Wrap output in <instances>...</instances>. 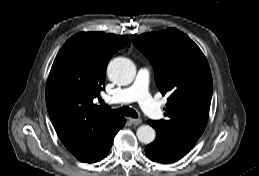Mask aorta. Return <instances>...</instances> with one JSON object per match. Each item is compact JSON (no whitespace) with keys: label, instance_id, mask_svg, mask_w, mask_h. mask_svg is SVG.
Segmentation results:
<instances>
[{"label":"aorta","instance_id":"1","mask_svg":"<svg viewBox=\"0 0 259 176\" xmlns=\"http://www.w3.org/2000/svg\"><path fill=\"white\" fill-rule=\"evenodd\" d=\"M107 74L114 83L128 85L134 80L136 70L131 60L117 57L109 62ZM136 135L141 143L150 144L155 140L156 132L151 126L142 125L137 129Z\"/></svg>","mask_w":259,"mask_h":176}]
</instances>
